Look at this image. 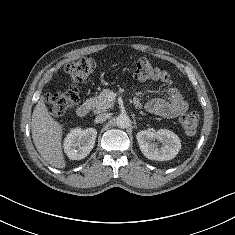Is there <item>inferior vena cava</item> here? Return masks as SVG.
<instances>
[{
    "label": "inferior vena cava",
    "instance_id": "1",
    "mask_svg": "<svg viewBox=\"0 0 235 235\" xmlns=\"http://www.w3.org/2000/svg\"><path fill=\"white\" fill-rule=\"evenodd\" d=\"M110 117V115L108 113H102L96 116L95 118V122L96 123H101L106 121L108 118Z\"/></svg>",
    "mask_w": 235,
    "mask_h": 235
}]
</instances>
